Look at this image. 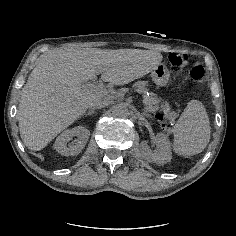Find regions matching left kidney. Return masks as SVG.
I'll use <instances>...</instances> for the list:
<instances>
[{
    "label": "left kidney",
    "instance_id": "obj_1",
    "mask_svg": "<svg viewBox=\"0 0 236 236\" xmlns=\"http://www.w3.org/2000/svg\"><path fill=\"white\" fill-rule=\"evenodd\" d=\"M158 148L152 151L147 143L144 141L140 144V150L143 157L149 162H155L159 164L167 163L172 158L170 143L166 136L162 133L157 134Z\"/></svg>",
    "mask_w": 236,
    "mask_h": 236
}]
</instances>
